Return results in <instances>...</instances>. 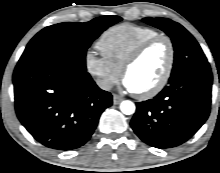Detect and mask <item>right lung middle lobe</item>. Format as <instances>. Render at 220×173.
<instances>
[{"label": "right lung middle lobe", "instance_id": "1", "mask_svg": "<svg viewBox=\"0 0 220 173\" xmlns=\"http://www.w3.org/2000/svg\"><path fill=\"white\" fill-rule=\"evenodd\" d=\"M121 19L103 16L85 23L66 22L48 26L31 39L18 64L57 60L86 71L88 47L104 30Z\"/></svg>", "mask_w": 220, "mask_h": 173}]
</instances>
